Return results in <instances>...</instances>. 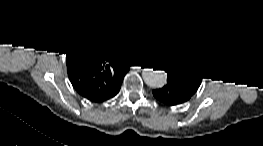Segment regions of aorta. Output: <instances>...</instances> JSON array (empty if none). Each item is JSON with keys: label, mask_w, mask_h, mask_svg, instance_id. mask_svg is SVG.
Masks as SVG:
<instances>
[{"label": "aorta", "mask_w": 263, "mask_h": 146, "mask_svg": "<svg viewBox=\"0 0 263 146\" xmlns=\"http://www.w3.org/2000/svg\"><path fill=\"white\" fill-rule=\"evenodd\" d=\"M142 77L150 87H161L165 83V76L160 71L150 68L142 70Z\"/></svg>", "instance_id": "obj_1"}]
</instances>
